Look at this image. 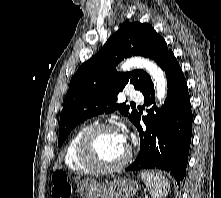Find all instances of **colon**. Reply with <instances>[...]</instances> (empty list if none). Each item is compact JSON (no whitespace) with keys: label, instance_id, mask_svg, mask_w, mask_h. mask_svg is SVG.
<instances>
[{"label":"colon","instance_id":"obj_1","mask_svg":"<svg viewBox=\"0 0 221 198\" xmlns=\"http://www.w3.org/2000/svg\"><path fill=\"white\" fill-rule=\"evenodd\" d=\"M52 198H71L72 187L63 172H56L52 177Z\"/></svg>","mask_w":221,"mask_h":198}]
</instances>
